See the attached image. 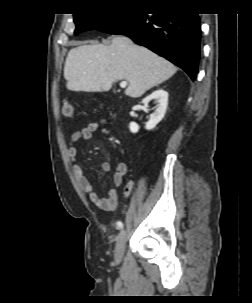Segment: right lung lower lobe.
<instances>
[{
	"mask_svg": "<svg viewBox=\"0 0 252 303\" xmlns=\"http://www.w3.org/2000/svg\"><path fill=\"white\" fill-rule=\"evenodd\" d=\"M98 30L126 35L182 68L193 81L196 79L201 46L198 14L162 9L150 15L138 10Z\"/></svg>",
	"mask_w": 252,
	"mask_h": 303,
	"instance_id": "right-lung-lower-lobe-1",
	"label": "right lung lower lobe"
}]
</instances>
